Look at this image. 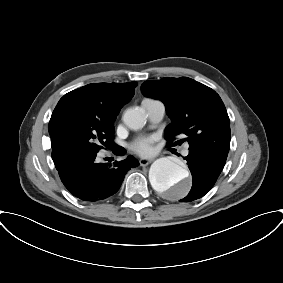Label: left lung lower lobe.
I'll return each instance as SVG.
<instances>
[{
	"instance_id": "1",
	"label": "left lung lower lobe",
	"mask_w": 283,
	"mask_h": 283,
	"mask_svg": "<svg viewBox=\"0 0 283 283\" xmlns=\"http://www.w3.org/2000/svg\"><path fill=\"white\" fill-rule=\"evenodd\" d=\"M185 159L192 173L193 184L189 194L181 202L193 201L204 196L213 187L224 167V165L209 163L191 153Z\"/></svg>"
}]
</instances>
